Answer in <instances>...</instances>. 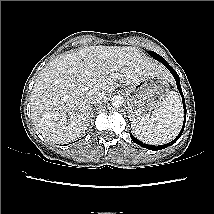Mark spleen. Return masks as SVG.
Segmentation results:
<instances>
[{
    "mask_svg": "<svg viewBox=\"0 0 214 214\" xmlns=\"http://www.w3.org/2000/svg\"><path fill=\"white\" fill-rule=\"evenodd\" d=\"M131 123L134 135L145 143L160 145L171 141L178 135L183 123L179 95L175 91L169 92L152 114L137 116Z\"/></svg>",
    "mask_w": 214,
    "mask_h": 214,
    "instance_id": "3e777b00",
    "label": "spleen"
}]
</instances>
